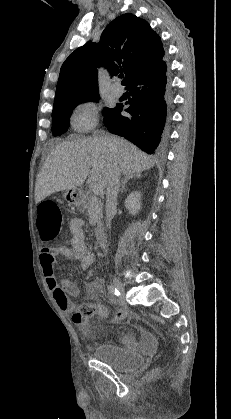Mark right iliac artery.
Returning <instances> with one entry per match:
<instances>
[{"mask_svg": "<svg viewBox=\"0 0 231 419\" xmlns=\"http://www.w3.org/2000/svg\"><path fill=\"white\" fill-rule=\"evenodd\" d=\"M107 290L110 294L114 295V296H118L119 292L118 290L113 286V285H108L107 286Z\"/></svg>", "mask_w": 231, "mask_h": 419, "instance_id": "1", "label": "right iliac artery"}]
</instances>
